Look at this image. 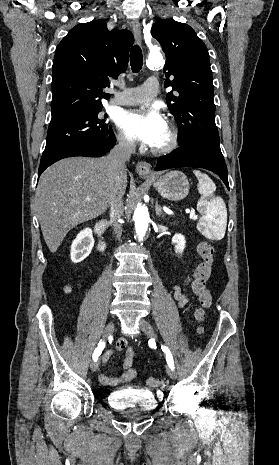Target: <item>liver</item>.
I'll list each match as a JSON object with an SVG mask.
<instances>
[{
  "mask_svg": "<svg viewBox=\"0 0 279 465\" xmlns=\"http://www.w3.org/2000/svg\"><path fill=\"white\" fill-rule=\"evenodd\" d=\"M126 186L125 171L121 176L124 193ZM110 191V171L104 157L65 158L42 173L35 203L44 240L52 253L72 228L107 210Z\"/></svg>",
  "mask_w": 279,
  "mask_h": 465,
  "instance_id": "6515ba94",
  "label": "liver"
}]
</instances>
